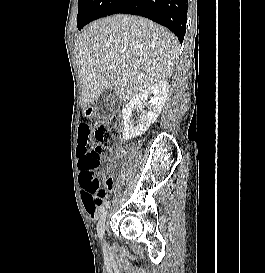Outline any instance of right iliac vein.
<instances>
[{"instance_id": "right-iliac-vein-1", "label": "right iliac vein", "mask_w": 265, "mask_h": 273, "mask_svg": "<svg viewBox=\"0 0 265 273\" xmlns=\"http://www.w3.org/2000/svg\"><path fill=\"white\" fill-rule=\"evenodd\" d=\"M106 216H107V212H104L101 215L98 225H97V233H98V236L100 239L104 238Z\"/></svg>"}]
</instances>
